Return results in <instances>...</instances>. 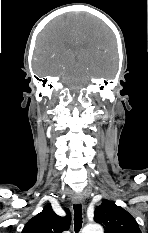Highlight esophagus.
<instances>
[{"label":"esophagus","mask_w":148,"mask_h":233,"mask_svg":"<svg viewBox=\"0 0 148 233\" xmlns=\"http://www.w3.org/2000/svg\"><path fill=\"white\" fill-rule=\"evenodd\" d=\"M72 201L75 204H83L84 203V197L81 194H75L72 198Z\"/></svg>","instance_id":"34e87169"}]
</instances>
